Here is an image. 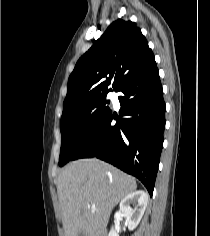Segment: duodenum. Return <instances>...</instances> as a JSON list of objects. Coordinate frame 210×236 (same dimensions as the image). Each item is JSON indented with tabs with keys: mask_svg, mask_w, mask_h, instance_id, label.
Wrapping results in <instances>:
<instances>
[{
	"mask_svg": "<svg viewBox=\"0 0 210 236\" xmlns=\"http://www.w3.org/2000/svg\"><path fill=\"white\" fill-rule=\"evenodd\" d=\"M99 236H106V234L105 233H102L101 235H99Z\"/></svg>",
	"mask_w": 210,
	"mask_h": 236,
	"instance_id": "duodenum-1",
	"label": "duodenum"
}]
</instances>
